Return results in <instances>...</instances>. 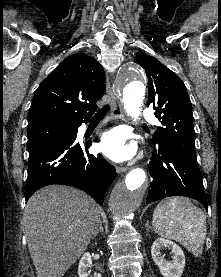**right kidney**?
Instances as JSON below:
<instances>
[{"label":"right kidney","mask_w":221,"mask_h":277,"mask_svg":"<svg viewBox=\"0 0 221 277\" xmlns=\"http://www.w3.org/2000/svg\"><path fill=\"white\" fill-rule=\"evenodd\" d=\"M91 264H92L91 255L89 252H85L79 261V266H78L79 277L89 276V272L87 270L91 266ZM95 277H102V276L100 273H98V274H95Z\"/></svg>","instance_id":"right-kidney-1"}]
</instances>
